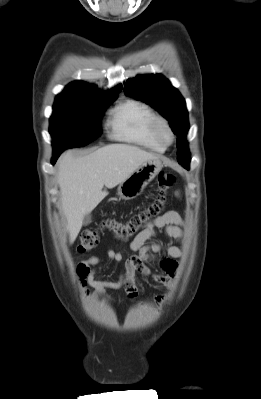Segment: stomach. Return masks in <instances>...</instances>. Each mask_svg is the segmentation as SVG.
<instances>
[{
	"mask_svg": "<svg viewBox=\"0 0 261 399\" xmlns=\"http://www.w3.org/2000/svg\"><path fill=\"white\" fill-rule=\"evenodd\" d=\"M162 167L163 164L159 159H151L142 163L125 181L119 184L117 189L119 197L130 200L139 196Z\"/></svg>",
	"mask_w": 261,
	"mask_h": 399,
	"instance_id": "obj_1",
	"label": "stomach"
}]
</instances>
